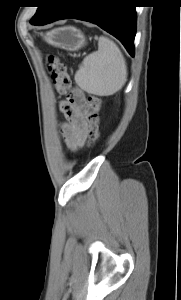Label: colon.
<instances>
[{"label":"colon","mask_w":181,"mask_h":300,"mask_svg":"<svg viewBox=\"0 0 181 300\" xmlns=\"http://www.w3.org/2000/svg\"><path fill=\"white\" fill-rule=\"evenodd\" d=\"M51 79L58 92L67 94L68 100L62 104V112L68 118L74 115L76 109L83 104L89 107L87 115V144L93 146L99 138V112L101 100L98 96L89 94L86 97L79 89H72V80L67 66L57 57L49 59Z\"/></svg>","instance_id":"obj_1"}]
</instances>
